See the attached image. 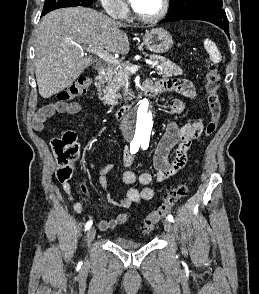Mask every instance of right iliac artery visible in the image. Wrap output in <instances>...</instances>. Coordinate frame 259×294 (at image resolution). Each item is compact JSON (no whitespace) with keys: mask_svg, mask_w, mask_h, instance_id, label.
<instances>
[{"mask_svg":"<svg viewBox=\"0 0 259 294\" xmlns=\"http://www.w3.org/2000/svg\"><path fill=\"white\" fill-rule=\"evenodd\" d=\"M139 147H140L139 142H131V144H130V152H131V154H135L139 150ZM92 224H93V221L89 220L85 225V231L89 230L90 227L92 226Z\"/></svg>","mask_w":259,"mask_h":294,"instance_id":"obj_1","label":"right iliac artery"}]
</instances>
